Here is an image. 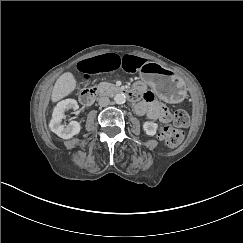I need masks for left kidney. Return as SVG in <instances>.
<instances>
[{
  "instance_id": "5707ae66",
  "label": "left kidney",
  "mask_w": 243,
  "mask_h": 243,
  "mask_svg": "<svg viewBox=\"0 0 243 243\" xmlns=\"http://www.w3.org/2000/svg\"><path fill=\"white\" fill-rule=\"evenodd\" d=\"M158 124L154 121L143 122V130L147 135L154 136L157 133Z\"/></svg>"
}]
</instances>
